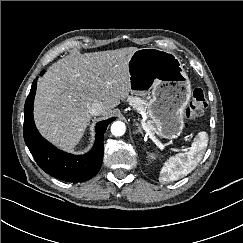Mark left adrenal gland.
Instances as JSON below:
<instances>
[{
    "mask_svg": "<svg viewBox=\"0 0 243 243\" xmlns=\"http://www.w3.org/2000/svg\"><path fill=\"white\" fill-rule=\"evenodd\" d=\"M136 125L138 126V130H136L134 133L137 134V133H141L143 135V132H142V129L141 127L139 126L138 123H136Z\"/></svg>",
    "mask_w": 243,
    "mask_h": 243,
    "instance_id": "a2214340",
    "label": "left adrenal gland"
}]
</instances>
